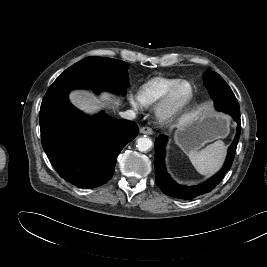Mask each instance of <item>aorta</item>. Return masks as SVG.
Here are the masks:
<instances>
[{
	"label": "aorta",
	"mask_w": 267,
	"mask_h": 267,
	"mask_svg": "<svg viewBox=\"0 0 267 267\" xmlns=\"http://www.w3.org/2000/svg\"><path fill=\"white\" fill-rule=\"evenodd\" d=\"M152 140L147 137H141L137 140V149L141 152H146L152 147Z\"/></svg>",
	"instance_id": "aorta-1"
}]
</instances>
